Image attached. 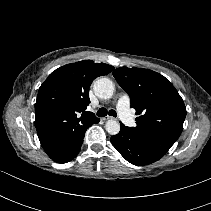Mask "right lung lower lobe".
I'll return each instance as SVG.
<instances>
[{
    "label": "right lung lower lobe",
    "mask_w": 211,
    "mask_h": 211,
    "mask_svg": "<svg viewBox=\"0 0 211 211\" xmlns=\"http://www.w3.org/2000/svg\"><path fill=\"white\" fill-rule=\"evenodd\" d=\"M87 129V128H86ZM86 129L80 130L76 133L75 137L73 138V141L65 147V149L57 154L49 156L53 161L57 163H67L74 159L80 149L81 145L83 143V138L86 132Z\"/></svg>",
    "instance_id": "1"
}]
</instances>
